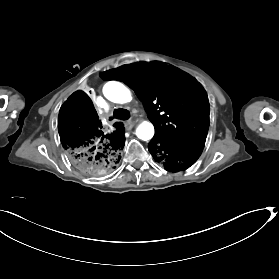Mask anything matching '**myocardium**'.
<instances>
[{
    "instance_id": "obj_1",
    "label": "myocardium",
    "mask_w": 279,
    "mask_h": 279,
    "mask_svg": "<svg viewBox=\"0 0 279 279\" xmlns=\"http://www.w3.org/2000/svg\"><path fill=\"white\" fill-rule=\"evenodd\" d=\"M96 131H98V134H104L105 133V130H104V128L102 126H100L98 128V130H96Z\"/></svg>"
}]
</instances>
